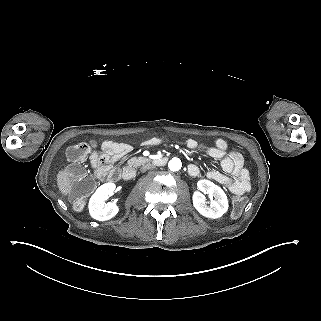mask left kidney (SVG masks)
Instances as JSON below:
<instances>
[{
  "label": "left kidney",
  "mask_w": 321,
  "mask_h": 321,
  "mask_svg": "<svg viewBox=\"0 0 321 321\" xmlns=\"http://www.w3.org/2000/svg\"><path fill=\"white\" fill-rule=\"evenodd\" d=\"M198 190L214 197L210 206L206 204L205 195L199 191L193 194V205L195 209L203 216L208 218H219L228 210V200L225 192L213 182L203 179L197 182Z\"/></svg>",
  "instance_id": "obj_1"
}]
</instances>
